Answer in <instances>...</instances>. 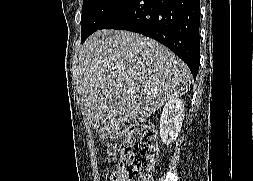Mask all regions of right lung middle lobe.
<instances>
[{
  "instance_id": "obj_1",
  "label": "right lung middle lobe",
  "mask_w": 253,
  "mask_h": 181,
  "mask_svg": "<svg viewBox=\"0 0 253 181\" xmlns=\"http://www.w3.org/2000/svg\"><path fill=\"white\" fill-rule=\"evenodd\" d=\"M128 0H83L81 36L101 28Z\"/></svg>"
}]
</instances>
